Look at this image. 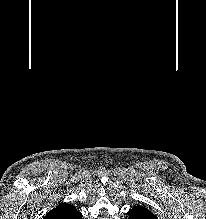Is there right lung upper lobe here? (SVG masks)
<instances>
[{"mask_svg":"<svg viewBox=\"0 0 206 219\" xmlns=\"http://www.w3.org/2000/svg\"><path fill=\"white\" fill-rule=\"evenodd\" d=\"M44 219H82V215L73 205L61 203L50 210Z\"/></svg>","mask_w":206,"mask_h":219,"instance_id":"1","label":"right lung upper lobe"}]
</instances>
